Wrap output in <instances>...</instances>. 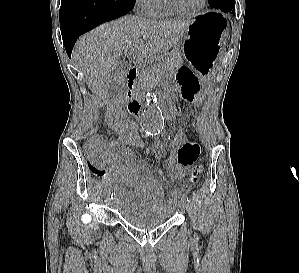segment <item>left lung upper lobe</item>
Masks as SVG:
<instances>
[{"instance_id":"left-lung-upper-lobe-1","label":"left lung upper lobe","mask_w":299,"mask_h":273,"mask_svg":"<svg viewBox=\"0 0 299 273\" xmlns=\"http://www.w3.org/2000/svg\"><path fill=\"white\" fill-rule=\"evenodd\" d=\"M216 0H208V3L211 5L215 2Z\"/></svg>"}]
</instances>
